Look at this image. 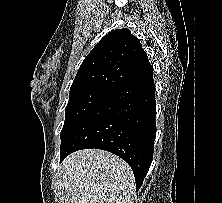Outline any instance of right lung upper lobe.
<instances>
[{
	"label": "right lung upper lobe",
	"instance_id": "1",
	"mask_svg": "<svg viewBox=\"0 0 222 203\" xmlns=\"http://www.w3.org/2000/svg\"><path fill=\"white\" fill-rule=\"evenodd\" d=\"M149 66L139 39L128 29L113 30L86 56L70 91L99 88L114 92Z\"/></svg>",
	"mask_w": 222,
	"mask_h": 203
}]
</instances>
